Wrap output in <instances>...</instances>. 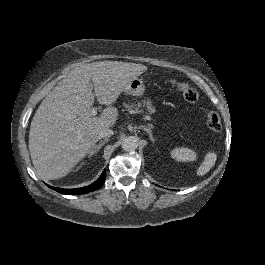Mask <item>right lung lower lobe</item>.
Segmentation results:
<instances>
[{
  "instance_id": "right-lung-lower-lobe-1",
  "label": "right lung lower lobe",
  "mask_w": 265,
  "mask_h": 265,
  "mask_svg": "<svg viewBox=\"0 0 265 265\" xmlns=\"http://www.w3.org/2000/svg\"><path fill=\"white\" fill-rule=\"evenodd\" d=\"M105 178H106V173L105 171H103L99 179L89 186L76 188V189H63V188L51 187L49 185L47 186L59 193L66 194V195L86 194V193L99 189L103 185Z\"/></svg>"
}]
</instances>
